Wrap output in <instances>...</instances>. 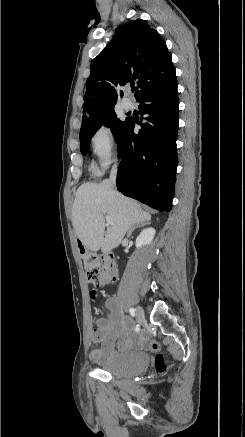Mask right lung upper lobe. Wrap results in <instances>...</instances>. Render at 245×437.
<instances>
[{
    "label": "right lung upper lobe",
    "instance_id": "obj_1",
    "mask_svg": "<svg viewBox=\"0 0 245 437\" xmlns=\"http://www.w3.org/2000/svg\"><path fill=\"white\" fill-rule=\"evenodd\" d=\"M134 81L136 99L177 83L165 41L142 19L120 26L112 41L93 59L86 82L82 126L114 108L118 97L115 87Z\"/></svg>",
    "mask_w": 245,
    "mask_h": 437
}]
</instances>
